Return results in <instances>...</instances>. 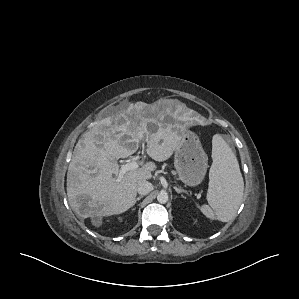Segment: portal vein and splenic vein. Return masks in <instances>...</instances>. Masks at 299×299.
<instances>
[{
    "mask_svg": "<svg viewBox=\"0 0 299 299\" xmlns=\"http://www.w3.org/2000/svg\"><path fill=\"white\" fill-rule=\"evenodd\" d=\"M141 139H142V136H141ZM138 167H139V164L137 163L136 159H133L131 162H128L126 164L120 165V170H119L118 177H117L116 181L120 182L122 180L123 176L128 171L136 170V169H138Z\"/></svg>",
    "mask_w": 299,
    "mask_h": 299,
    "instance_id": "1",
    "label": "portal vein and splenic vein"
}]
</instances>
